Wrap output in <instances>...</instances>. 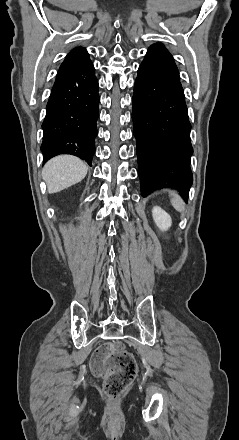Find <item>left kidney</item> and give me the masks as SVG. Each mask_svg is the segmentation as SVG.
Wrapping results in <instances>:
<instances>
[{"mask_svg":"<svg viewBox=\"0 0 239 440\" xmlns=\"http://www.w3.org/2000/svg\"><path fill=\"white\" fill-rule=\"evenodd\" d=\"M152 216L154 218L156 226H158V228H160L162 232H166V230L170 228L172 220L169 214H167V212H164L162 208H159V206H155V208H153L152 210Z\"/></svg>","mask_w":239,"mask_h":440,"instance_id":"obj_1","label":"left kidney"}]
</instances>
